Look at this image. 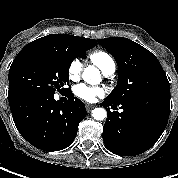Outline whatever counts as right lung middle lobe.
<instances>
[{
    "instance_id": "1",
    "label": "right lung middle lobe",
    "mask_w": 178,
    "mask_h": 178,
    "mask_svg": "<svg viewBox=\"0 0 178 178\" xmlns=\"http://www.w3.org/2000/svg\"><path fill=\"white\" fill-rule=\"evenodd\" d=\"M90 47L33 41L15 57L9 70V91L12 93L55 94L69 81L72 61ZM65 90H67L65 88Z\"/></svg>"
}]
</instances>
